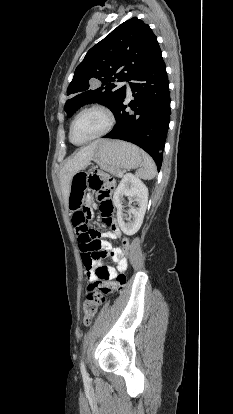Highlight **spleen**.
<instances>
[{"mask_svg": "<svg viewBox=\"0 0 233 414\" xmlns=\"http://www.w3.org/2000/svg\"><path fill=\"white\" fill-rule=\"evenodd\" d=\"M143 163L137 172V176L144 180H151L156 176V165L153 159L142 151Z\"/></svg>", "mask_w": 233, "mask_h": 414, "instance_id": "obj_1", "label": "spleen"}]
</instances>
